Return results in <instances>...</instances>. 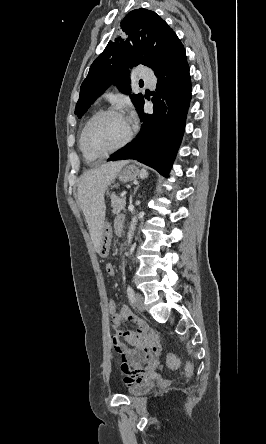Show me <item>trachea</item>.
Returning <instances> with one entry per match:
<instances>
[{
  "instance_id": "3493384b",
  "label": "trachea",
  "mask_w": 266,
  "mask_h": 444,
  "mask_svg": "<svg viewBox=\"0 0 266 444\" xmlns=\"http://www.w3.org/2000/svg\"><path fill=\"white\" fill-rule=\"evenodd\" d=\"M139 83H140V84H143V81H140Z\"/></svg>"
}]
</instances>
